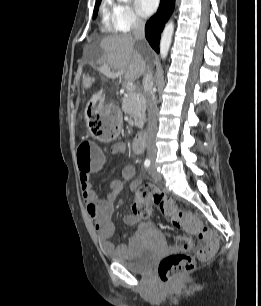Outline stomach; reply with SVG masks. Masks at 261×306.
<instances>
[{
    "mask_svg": "<svg viewBox=\"0 0 261 306\" xmlns=\"http://www.w3.org/2000/svg\"><path fill=\"white\" fill-rule=\"evenodd\" d=\"M103 98L98 94L86 105L84 115L90 130L108 117Z\"/></svg>",
    "mask_w": 261,
    "mask_h": 306,
    "instance_id": "stomach-1",
    "label": "stomach"
}]
</instances>
